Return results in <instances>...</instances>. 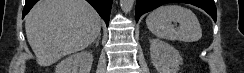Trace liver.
<instances>
[{
	"instance_id": "liver-1",
	"label": "liver",
	"mask_w": 244,
	"mask_h": 73,
	"mask_svg": "<svg viewBox=\"0 0 244 73\" xmlns=\"http://www.w3.org/2000/svg\"><path fill=\"white\" fill-rule=\"evenodd\" d=\"M25 30L37 63L50 66L94 42L101 18L85 0H40L26 16Z\"/></svg>"
}]
</instances>
